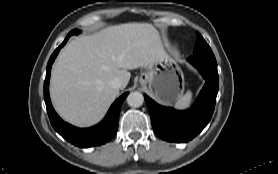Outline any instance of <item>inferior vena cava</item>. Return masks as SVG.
Segmentation results:
<instances>
[{
    "mask_svg": "<svg viewBox=\"0 0 278 174\" xmlns=\"http://www.w3.org/2000/svg\"><path fill=\"white\" fill-rule=\"evenodd\" d=\"M109 85L114 89H121L122 81L120 78H113L110 80Z\"/></svg>",
    "mask_w": 278,
    "mask_h": 174,
    "instance_id": "obj_1",
    "label": "inferior vena cava"
}]
</instances>
